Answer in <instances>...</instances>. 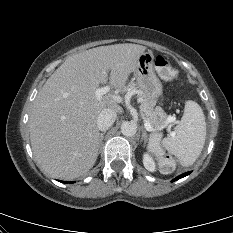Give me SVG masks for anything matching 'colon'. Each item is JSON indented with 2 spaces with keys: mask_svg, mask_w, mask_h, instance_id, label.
Wrapping results in <instances>:
<instances>
[{
  "mask_svg": "<svg viewBox=\"0 0 233 233\" xmlns=\"http://www.w3.org/2000/svg\"><path fill=\"white\" fill-rule=\"evenodd\" d=\"M154 65L158 75L163 80L173 81L177 78V69L174 68L163 56H156ZM161 139V134H153L149 139L148 149L150 154L154 157L158 169L164 174H169L176 169V161L172 156L165 153L161 144Z\"/></svg>",
  "mask_w": 233,
  "mask_h": 233,
  "instance_id": "5ec220e1",
  "label": "colon"
}]
</instances>
